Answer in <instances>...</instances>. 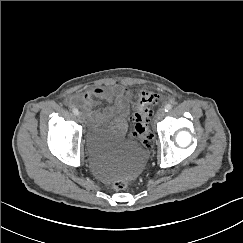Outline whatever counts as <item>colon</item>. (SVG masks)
Listing matches in <instances>:
<instances>
[{
	"label": "colon",
	"instance_id": "5ec220e1",
	"mask_svg": "<svg viewBox=\"0 0 243 243\" xmlns=\"http://www.w3.org/2000/svg\"><path fill=\"white\" fill-rule=\"evenodd\" d=\"M137 97L134 101L131 120L133 123V135L139 140L142 149L146 153L153 150L150 145L153 135L150 130V121L153 114V108L160 101V95L153 91H147L145 84L137 85ZM128 186L126 179H117L113 183V188L122 191Z\"/></svg>",
	"mask_w": 243,
	"mask_h": 243
}]
</instances>
